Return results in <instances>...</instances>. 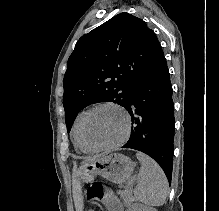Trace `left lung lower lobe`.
Instances as JSON below:
<instances>
[{"instance_id":"0a47b994","label":"left lung lower lobe","mask_w":219,"mask_h":211,"mask_svg":"<svg viewBox=\"0 0 219 211\" xmlns=\"http://www.w3.org/2000/svg\"><path fill=\"white\" fill-rule=\"evenodd\" d=\"M172 85L163 56L134 86L125 105L132 119L131 136L123 148L152 157L169 182L173 165L174 106Z\"/></svg>"}]
</instances>
